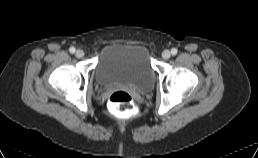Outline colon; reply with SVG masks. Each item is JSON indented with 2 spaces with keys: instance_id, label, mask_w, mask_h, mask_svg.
Masks as SVG:
<instances>
[{
  "instance_id": "obj_1",
  "label": "colon",
  "mask_w": 258,
  "mask_h": 158,
  "mask_svg": "<svg viewBox=\"0 0 258 158\" xmlns=\"http://www.w3.org/2000/svg\"><path fill=\"white\" fill-rule=\"evenodd\" d=\"M108 107L113 114L126 117L133 112L134 99L129 92L118 90L111 94L108 100Z\"/></svg>"
}]
</instances>
